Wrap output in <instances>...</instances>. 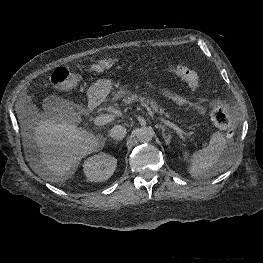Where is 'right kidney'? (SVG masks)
Returning <instances> with one entry per match:
<instances>
[{"label": "right kidney", "instance_id": "right-kidney-1", "mask_svg": "<svg viewBox=\"0 0 263 263\" xmlns=\"http://www.w3.org/2000/svg\"><path fill=\"white\" fill-rule=\"evenodd\" d=\"M116 165V158L100 153L89 157L83 164V170L91 182H102L113 175Z\"/></svg>", "mask_w": 263, "mask_h": 263}]
</instances>
